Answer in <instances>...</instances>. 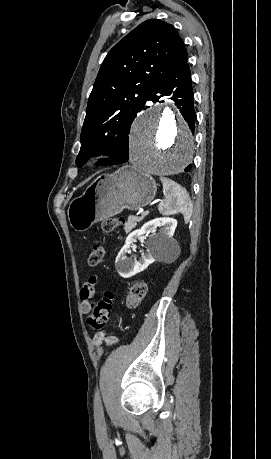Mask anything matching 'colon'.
Listing matches in <instances>:
<instances>
[{
    "label": "colon",
    "instance_id": "5ec220e1",
    "mask_svg": "<svg viewBox=\"0 0 271 459\" xmlns=\"http://www.w3.org/2000/svg\"><path fill=\"white\" fill-rule=\"evenodd\" d=\"M119 220L116 218H109L101 223V230L103 232H112L118 225ZM105 249L99 242H95L90 250L88 263L90 266H97L104 260ZM148 286L145 281L135 282L126 296V305L134 309L139 306L141 301L147 294ZM113 296L106 293L99 301L93 302L91 310L87 316V323L94 330L102 329L108 322L111 309H112Z\"/></svg>",
    "mask_w": 271,
    "mask_h": 459
}]
</instances>
